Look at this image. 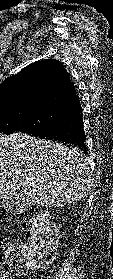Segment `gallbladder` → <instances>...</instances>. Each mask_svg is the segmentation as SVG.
I'll use <instances>...</instances> for the list:
<instances>
[{"label":"gallbladder","mask_w":113,"mask_h":279,"mask_svg":"<svg viewBox=\"0 0 113 279\" xmlns=\"http://www.w3.org/2000/svg\"><path fill=\"white\" fill-rule=\"evenodd\" d=\"M0 208H3L6 211L11 210V206H10V204H8V201L6 199L0 201Z\"/></svg>","instance_id":"obj_1"}]
</instances>
